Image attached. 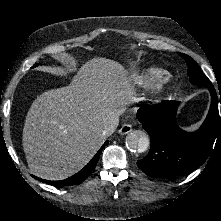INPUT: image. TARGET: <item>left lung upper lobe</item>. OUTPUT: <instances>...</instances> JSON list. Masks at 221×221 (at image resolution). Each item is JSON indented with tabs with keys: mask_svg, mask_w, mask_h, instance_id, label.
Returning <instances> with one entry per match:
<instances>
[{
	"mask_svg": "<svg viewBox=\"0 0 221 221\" xmlns=\"http://www.w3.org/2000/svg\"><path fill=\"white\" fill-rule=\"evenodd\" d=\"M179 55L185 59L188 66V75L190 82L198 86H211L210 80L202 73L198 64L188 55L179 53Z\"/></svg>",
	"mask_w": 221,
	"mask_h": 221,
	"instance_id": "1",
	"label": "left lung upper lobe"
}]
</instances>
